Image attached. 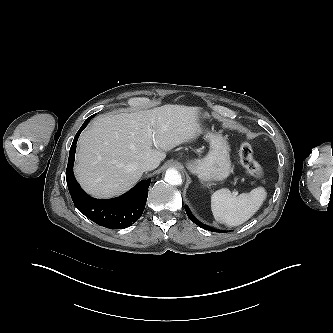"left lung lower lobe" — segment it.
I'll list each match as a JSON object with an SVG mask.
<instances>
[{"mask_svg":"<svg viewBox=\"0 0 333 333\" xmlns=\"http://www.w3.org/2000/svg\"><path fill=\"white\" fill-rule=\"evenodd\" d=\"M185 210H186V213H187V215H188V217L192 220V222H194L196 225H198L199 227H201V228H203V229H205V230H208V231H212V232H215L216 231V229L215 228H212V227H209V226H207V225H204V224H202L201 222H199L198 220H196L193 216H192V214H191V212L189 211V209L188 208H185ZM222 233H225L226 231H221Z\"/></svg>","mask_w":333,"mask_h":333,"instance_id":"left-lung-lower-lobe-1","label":"left lung lower lobe"}]
</instances>
